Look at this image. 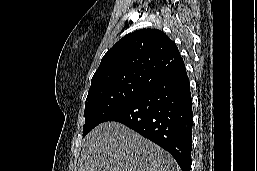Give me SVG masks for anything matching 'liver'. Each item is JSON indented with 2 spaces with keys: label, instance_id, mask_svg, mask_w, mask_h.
Wrapping results in <instances>:
<instances>
[{
  "label": "liver",
  "instance_id": "liver-1",
  "mask_svg": "<svg viewBox=\"0 0 257 171\" xmlns=\"http://www.w3.org/2000/svg\"><path fill=\"white\" fill-rule=\"evenodd\" d=\"M77 171H181L174 158L118 122H104L84 139Z\"/></svg>",
  "mask_w": 257,
  "mask_h": 171
}]
</instances>
